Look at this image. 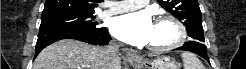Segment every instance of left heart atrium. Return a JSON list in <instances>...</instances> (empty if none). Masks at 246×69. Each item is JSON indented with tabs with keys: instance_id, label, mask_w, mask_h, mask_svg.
Returning a JSON list of instances; mask_svg holds the SVG:
<instances>
[{
	"instance_id": "obj_1",
	"label": "left heart atrium",
	"mask_w": 246,
	"mask_h": 69,
	"mask_svg": "<svg viewBox=\"0 0 246 69\" xmlns=\"http://www.w3.org/2000/svg\"><path fill=\"white\" fill-rule=\"evenodd\" d=\"M154 22L148 11L127 13L113 19L111 31L124 43L143 46L150 42Z\"/></svg>"
}]
</instances>
